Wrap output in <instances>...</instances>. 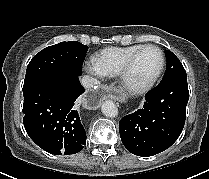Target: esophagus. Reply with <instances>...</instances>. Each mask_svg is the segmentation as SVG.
<instances>
[{
    "label": "esophagus",
    "instance_id": "obj_1",
    "mask_svg": "<svg viewBox=\"0 0 209 179\" xmlns=\"http://www.w3.org/2000/svg\"><path fill=\"white\" fill-rule=\"evenodd\" d=\"M118 97V90L115 87L106 88H97L92 90L90 93H87L84 96V103L88 107H95L101 102L108 100H115Z\"/></svg>",
    "mask_w": 209,
    "mask_h": 179
}]
</instances>
